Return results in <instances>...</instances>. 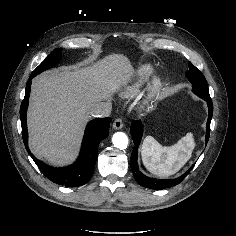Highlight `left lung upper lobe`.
I'll list each match as a JSON object with an SVG mask.
<instances>
[{"instance_id": "1", "label": "left lung upper lobe", "mask_w": 236, "mask_h": 236, "mask_svg": "<svg viewBox=\"0 0 236 236\" xmlns=\"http://www.w3.org/2000/svg\"><path fill=\"white\" fill-rule=\"evenodd\" d=\"M186 77L193 85L192 91L202 99H211L205 77L191 62Z\"/></svg>"}]
</instances>
